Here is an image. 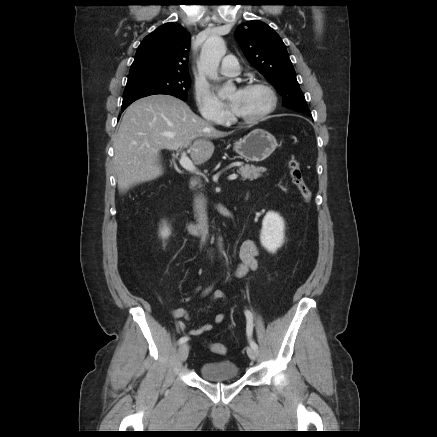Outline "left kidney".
Instances as JSON below:
<instances>
[{
  "label": "left kidney",
  "mask_w": 437,
  "mask_h": 437,
  "mask_svg": "<svg viewBox=\"0 0 437 437\" xmlns=\"http://www.w3.org/2000/svg\"><path fill=\"white\" fill-rule=\"evenodd\" d=\"M284 220L275 212H268L263 221L260 233L261 245L270 253H275L284 243Z\"/></svg>",
  "instance_id": "left-kidney-1"
}]
</instances>
